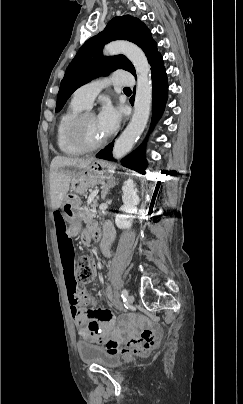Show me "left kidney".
Listing matches in <instances>:
<instances>
[{
    "label": "left kidney",
    "mask_w": 243,
    "mask_h": 404,
    "mask_svg": "<svg viewBox=\"0 0 243 404\" xmlns=\"http://www.w3.org/2000/svg\"><path fill=\"white\" fill-rule=\"evenodd\" d=\"M122 190L123 206H121L120 210L123 212V214H117L115 224L117 228H120V230H129V228L132 226V220L134 218L132 214H136L137 206L140 200L137 194L138 190L133 180H126Z\"/></svg>",
    "instance_id": "5707ae66"
}]
</instances>
